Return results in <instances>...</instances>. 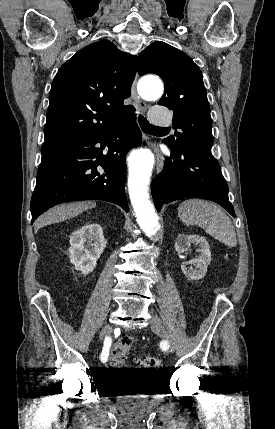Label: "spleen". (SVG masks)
Masks as SVG:
<instances>
[{
  "label": "spleen",
  "mask_w": 275,
  "mask_h": 429,
  "mask_svg": "<svg viewBox=\"0 0 275 429\" xmlns=\"http://www.w3.org/2000/svg\"><path fill=\"white\" fill-rule=\"evenodd\" d=\"M178 216L185 225H198L228 247L237 244L231 220L220 207L211 202L201 199L185 200L178 207Z\"/></svg>",
  "instance_id": "spleen-1"
}]
</instances>
